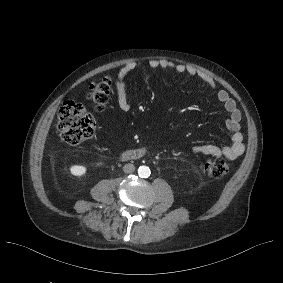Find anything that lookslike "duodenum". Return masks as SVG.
Returning <instances> with one entry per match:
<instances>
[{"instance_id":"1","label":"duodenum","mask_w":283,"mask_h":283,"mask_svg":"<svg viewBox=\"0 0 283 283\" xmlns=\"http://www.w3.org/2000/svg\"><path fill=\"white\" fill-rule=\"evenodd\" d=\"M145 155H146V151L142 148H138L124 152L121 157L124 160H136L143 158Z\"/></svg>"}]
</instances>
